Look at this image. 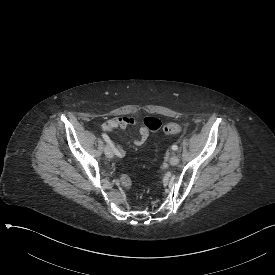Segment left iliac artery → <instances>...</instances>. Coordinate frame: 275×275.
I'll use <instances>...</instances> for the list:
<instances>
[{
    "mask_svg": "<svg viewBox=\"0 0 275 275\" xmlns=\"http://www.w3.org/2000/svg\"><path fill=\"white\" fill-rule=\"evenodd\" d=\"M172 149H173L174 151H176V150L178 149V146H177V145H173V146H172Z\"/></svg>",
    "mask_w": 275,
    "mask_h": 275,
    "instance_id": "44dca946",
    "label": "left iliac artery"
}]
</instances>
